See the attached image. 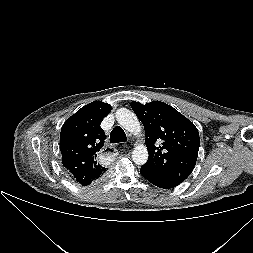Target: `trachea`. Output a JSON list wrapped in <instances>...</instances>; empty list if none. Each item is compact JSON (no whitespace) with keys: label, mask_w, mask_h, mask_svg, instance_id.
I'll list each match as a JSON object with an SVG mask.
<instances>
[{"label":"trachea","mask_w":253,"mask_h":253,"mask_svg":"<svg viewBox=\"0 0 253 253\" xmlns=\"http://www.w3.org/2000/svg\"><path fill=\"white\" fill-rule=\"evenodd\" d=\"M127 137L120 126H116L110 133V143L126 142Z\"/></svg>","instance_id":"trachea-1"}]
</instances>
